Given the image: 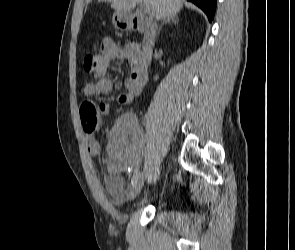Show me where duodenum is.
<instances>
[{
	"label": "duodenum",
	"instance_id": "1",
	"mask_svg": "<svg viewBox=\"0 0 295 250\" xmlns=\"http://www.w3.org/2000/svg\"><path fill=\"white\" fill-rule=\"evenodd\" d=\"M122 20L128 24V28L143 34L142 50L137 60L135 72L139 81L144 83L147 80V56L152 53L157 36L156 24L147 16L141 13L123 11Z\"/></svg>",
	"mask_w": 295,
	"mask_h": 250
}]
</instances>
